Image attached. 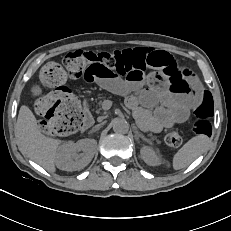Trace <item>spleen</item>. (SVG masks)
<instances>
[{
    "mask_svg": "<svg viewBox=\"0 0 231 231\" xmlns=\"http://www.w3.org/2000/svg\"><path fill=\"white\" fill-rule=\"evenodd\" d=\"M208 137L199 134L184 144L173 157V168L179 170L190 165L206 149ZM165 162V161H164ZM169 164H167L168 166Z\"/></svg>",
    "mask_w": 231,
    "mask_h": 231,
    "instance_id": "1",
    "label": "spleen"
}]
</instances>
